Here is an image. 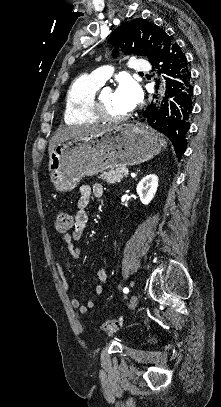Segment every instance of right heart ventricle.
Listing matches in <instances>:
<instances>
[{
  "mask_svg": "<svg viewBox=\"0 0 221 407\" xmlns=\"http://www.w3.org/2000/svg\"><path fill=\"white\" fill-rule=\"evenodd\" d=\"M101 84L91 76L81 75L69 86L64 104V121L71 124L93 123L99 119L92 113V105Z\"/></svg>",
  "mask_w": 221,
  "mask_h": 407,
  "instance_id": "right-heart-ventricle-1",
  "label": "right heart ventricle"
}]
</instances>
